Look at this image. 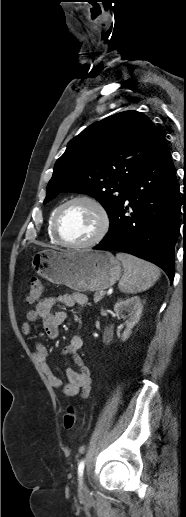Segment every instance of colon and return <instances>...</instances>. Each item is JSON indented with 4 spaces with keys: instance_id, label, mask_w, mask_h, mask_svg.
Listing matches in <instances>:
<instances>
[{
    "instance_id": "1",
    "label": "colon",
    "mask_w": 186,
    "mask_h": 517,
    "mask_svg": "<svg viewBox=\"0 0 186 517\" xmlns=\"http://www.w3.org/2000/svg\"><path fill=\"white\" fill-rule=\"evenodd\" d=\"M42 294H43V287H42L40 280L37 277H33L31 279V284H30V288H29V292H28V296H27V303L35 304V303L39 302L42 298ZM76 420H77L76 411L73 407H70L66 411V413L64 414V417H63L64 428L66 430H71L75 426Z\"/></svg>"
}]
</instances>
